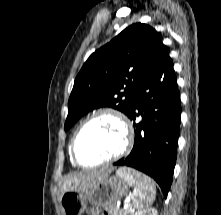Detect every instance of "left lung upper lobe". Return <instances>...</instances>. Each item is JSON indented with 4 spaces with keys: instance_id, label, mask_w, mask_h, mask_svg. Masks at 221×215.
Instances as JSON below:
<instances>
[{
    "instance_id": "1",
    "label": "left lung upper lobe",
    "mask_w": 221,
    "mask_h": 215,
    "mask_svg": "<svg viewBox=\"0 0 221 215\" xmlns=\"http://www.w3.org/2000/svg\"><path fill=\"white\" fill-rule=\"evenodd\" d=\"M162 44L154 28L135 23L91 54L75 79L65 131L95 108L112 107L128 115Z\"/></svg>"
}]
</instances>
